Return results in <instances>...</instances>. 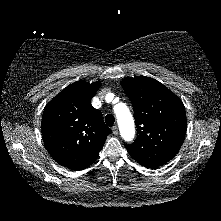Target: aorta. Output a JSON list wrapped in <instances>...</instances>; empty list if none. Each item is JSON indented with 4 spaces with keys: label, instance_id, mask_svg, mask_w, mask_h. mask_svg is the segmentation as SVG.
<instances>
[{
    "label": "aorta",
    "instance_id": "762f6f07",
    "mask_svg": "<svg viewBox=\"0 0 221 221\" xmlns=\"http://www.w3.org/2000/svg\"><path fill=\"white\" fill-rule=\"evenodd\" d=\"M120 134L125 141H132L135 136V123L129 108L124 103L114 107Z\"/></svg>",
    "mask_w": 221,
    "mask_h": 221
}]
</instances>
